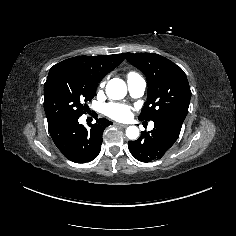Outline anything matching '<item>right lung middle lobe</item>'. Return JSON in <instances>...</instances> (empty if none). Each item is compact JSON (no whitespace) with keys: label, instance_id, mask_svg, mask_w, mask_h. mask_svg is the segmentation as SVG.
I'll use <instances>...</instances> for the list:
<instances>
[{"label":"right lung middle lobe","instance_id":"right-lung-middle-lobe-1","mask_svg":"<svg viewBox=\"0 0 236 236\" xmlns=\"http://www.w3.org/2000/svg\"><path fill=\"white\" fill-rule=\"evenodd\" d=\"M98 82L82 69L54 65L44 84V110L48 125L85 114Z\"/></svg>","mask_w":236,"mask_h":236}]
</instances>
